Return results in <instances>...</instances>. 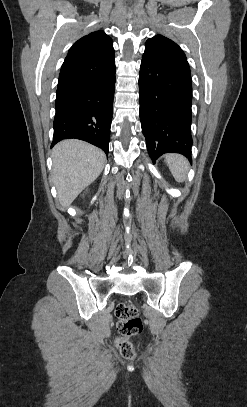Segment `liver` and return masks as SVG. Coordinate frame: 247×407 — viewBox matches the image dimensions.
I'll use <instances>...</instances> for the list:
<instances>
[{
  "label": "liver",
  "instance_id": "liver-1",
  "mask_svg": "<svg viewBox=\"0 0 247 407\" xmlns=\"http://www.w3.org/2000/svg\"><path fill=\"white\" fill-rule=\"evenodd\" d=\"M52 158V179L64 208L98 178L106 163L101 149L75 139L59 142L53 148Z\"/></svg>",
  "mask_w": 247,
  "mask_h": 407
}]
</instances>
